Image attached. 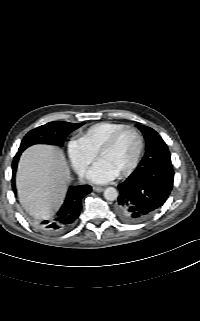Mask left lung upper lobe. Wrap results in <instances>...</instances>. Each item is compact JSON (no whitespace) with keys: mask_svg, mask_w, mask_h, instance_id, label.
Segmentation results:
<instances>
[{"mask_svg":"<svg viewBox=\"0 0 200 321\" xmlns=\"http://www.w3.org/2000/svg\"><path fill=\"white\" fill-rule=\"evenodd\" d=\"M146 140V152L138 167L149 165L172 166L170 153L161 136L152 128L137 124Z\"/></svg>","mask_w":200,"mask_h":321,"instance_id":"5c2ea615","label":"left lung upper lobe"}]
</instances>
